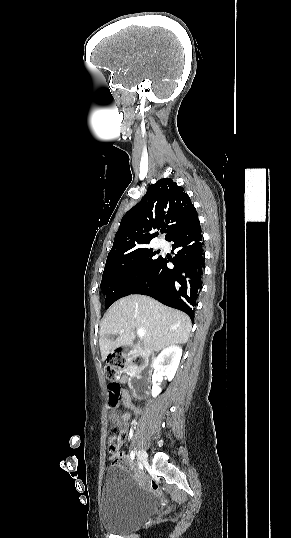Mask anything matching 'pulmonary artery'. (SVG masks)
<instances>
[{"label": "pulmonary artery", "mask_w": 291, "mask_h": 538, "mask_svg": "<svg viewBox=\"0 0 291 538\" xmlns=\"http://www.w3.org/2000/svg\"><path fill=\"white\" fill-rule=\"evenodd\" d=\"M157 245H158V246L160 247V246H161V243H160V242H158V243H157Z\"/></svg>", "instance_id": "e3ab8cb5"}]
</instances>
